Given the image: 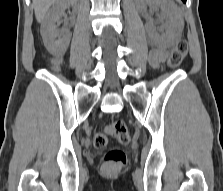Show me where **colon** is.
Here are the masks:
<instances>
[{"label":"colon","instance_id":"1","mask_svg":"<svg viewBox=\"0 0 223 191\" xmlns=\"http://www.w3.org/2000/svg\"><path fill=\"white\" fill-rule=\"evenodd\" d=\"M183 4L184 0H179ZM188 51V44L186 40L182 39L177 42L173 47L169 56V65L172 68L178 67L183 59L185 58ZM61 59L58 57H53L50 60L53 70H58V66ZM108 135L114 136L120 143L127 144L130 141V133L128 131L127 125L123 121H116L106 127L104 132L96 133L93 137V144L96 148H104L108 143ZM126 163V156L122 150L111 149L108 150L103 157V170L112 174L119 171L122 166Z\"/></svg>","mask_w":223,"mask_h":191}]
</instances>
